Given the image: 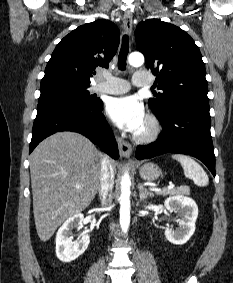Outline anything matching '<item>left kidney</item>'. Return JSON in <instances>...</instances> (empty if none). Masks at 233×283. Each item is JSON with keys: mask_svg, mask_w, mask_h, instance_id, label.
I'll return each instance as SVG.
<instances>
[{"mask_svg": "<svg viewBox=\"0 0 233 283\" xmlns=\"http://www.w3.org/2000/svg\"><path fill=\"white\" fill-rule=\"evenodd\" d=\"M164 206L169 212H178L181 216L177 222L179 228H165V237L176 245L185 244L195 232V222L198 216V206L189 197L175 196L165 200Z\"/></svg>", "mask_w": 233, "mask_h": 283, "instance_id": "obj_1", "label": "left kidney"}]
</instances>
